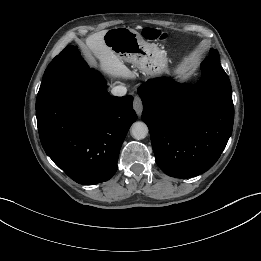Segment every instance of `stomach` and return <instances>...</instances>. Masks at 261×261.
Instances as JSON below:
<instances>
[{
    "label": "stomach",
    "mask_w": 261,
    "mask_h": 261,
    "mask_svg": "<svg viewBox=\"0 0 261 261\" xmlns=\"http://www.w3.org/2000/svg\"><path fill=\"white\" fill-rule=\"evenodd\" d=\"M104 42L121 61L131 63L148 76L168 72L167 56L156 44L146 42L134 29L115 27L106 31Z\"/></svg>",
    "instance_id": "0dacf381"
}]
</instances>
